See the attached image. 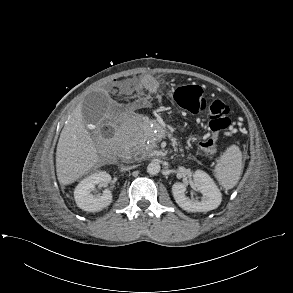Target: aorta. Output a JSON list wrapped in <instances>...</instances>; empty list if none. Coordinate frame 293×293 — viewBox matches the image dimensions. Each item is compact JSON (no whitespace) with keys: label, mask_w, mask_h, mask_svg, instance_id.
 Returning a JSON list of instances; mask_svg holds the SVG:
<instances>
[{"label":"aorta","mask_w":293,"mask_h":293,"mask_svg":"<svg viewBox=\"0 0 293 293\" xmlns=\"http://www.w3.org/2000/svg\"><path fill=\"white\" fill-rule=\"evenodd\" d=\"M160 164L158 162L152 161L147 166V172L150 175H157L160 172Z\"/></svg>","instance_id":"762f6f07"}]
</instances>
